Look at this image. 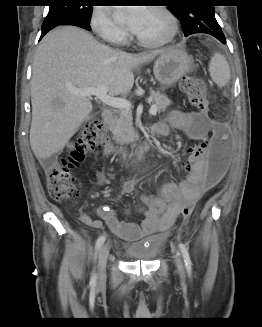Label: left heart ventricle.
I'll list each match as a JSON object with an SVG mask.
<instances>
[{
  "label": "left heart ventricle",
  "mask_w": 262,
  "mask_h": 327,
  "mask_svg": "<svg viewBox=\"0 0 262 327\" xmlns=\"http://www.w3.org/2000/svg\"><path fill=\"white\" fill-rule=\"evenodd\" d=\"M168 31L169 26L165 19L159 13L149 9L135 33L145 39L158 40L165 37Z\"/></svg>",
  "instance_id": "left-heart-ventricle-1"
}]
</instances>
